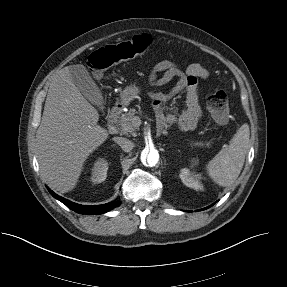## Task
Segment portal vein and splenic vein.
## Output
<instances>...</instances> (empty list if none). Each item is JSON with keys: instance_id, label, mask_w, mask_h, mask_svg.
<instances>
[{"instance_id": "portal-vein-and-splenic-vein-1", "label": "portal vein and splenic vein", "mask_w": 287, "mask_h": 287, "mask_svg": "<svg viewBox=\"0 0 287 287\" xmlns=\"http://www.w3.org/2000/svg\"><path fill=\"white\" fill-rule=\"evenodd\" d=\"M135 120H138V118L136 117ZM196 145H203V144L202 143H196Z\"/></svg>"}]
</instances>
